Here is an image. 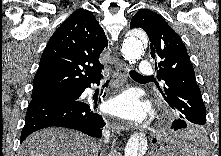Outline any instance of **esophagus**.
Returning <instances> with one entry per match:
<instances>
[{
  "label": "esophagus",
  "mask_w": 221,
  "mask_h": 156,
  "mask_svg": "<svg viewBox=\"0 0 221 156\" xmlns=\"http://www.w3.org/2000/svg\"><path fill=\"white\" fill-rule=\"evenodd\" d=\"M115 58H116V73L119 76V78L122 81H125L127 79V72H128V66L127 64L119 57L118 53L115 52ZM126 126L123 124H113L112 130L116 133H120L121 131L125 130Z\"/></svg>",
  "instance_id": "1"
}]
</instances>
